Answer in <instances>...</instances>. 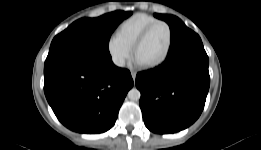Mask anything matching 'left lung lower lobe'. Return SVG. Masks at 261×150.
Masks as SVG:
<instances>
[{
    "label": "left lung lower lobe",
    "instance_id": "0a47b994",
    "mask_svg": "<svg viewBox=\"0 0 261 150\" xmlns=\"http://www.w3.org/2000/svg\"><path fill=\"white\" fill-rule=\"evenodd\" d=\"M208 65L200 37L187 29L172 41L161 65L137 74L140 108L150 131L175 133L198 119L210 85Z\"/></svg>",
    "mask_w": 261,
    "mask_h": 150
}]
</instances>
